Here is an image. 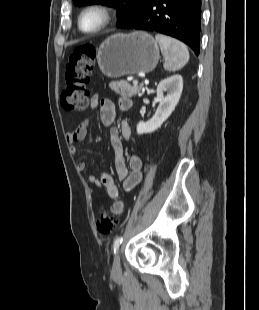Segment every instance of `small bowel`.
<instances>
[{"instance_id":"obj_1","label":"small bowel","mask_w":259,"mask_h":310,"mask_svg":"<svg viewBox=\"0 0 259 310\" xmlns=\"http://www.w3.org/2000/svg\"><path fill=\"white\" fill-rule=\"evenodd\" d=\"M119 108L123 111L131 107V100L127 97H121L118 101ZM99 107L100 118L106 127H110V144L115 157V169L117 178L122 183L124 191L129 192L133 190L142 181V167L143 163L138 155H131L128 159V165L124 158V147L122 138L130 140L132 137L131 129L127 123H121L119 128L111 127L116 117V106L113 101L109 99H99L94 95L90 101V109L95 110ZM89 119L82 121L75 129L68 131L66 140L70 144L71 153H76L75 144L83 141L88 133ZM85 163L79 162L77 168L80 171L85 169ZM88 184L97 187H104L108 197L113 200L112 212L114 214H121L125 208V202L119 198V189L115 183L112 175L103 171L99 177L88 175L86 177Z\"/></svg>"}]
</instances>
